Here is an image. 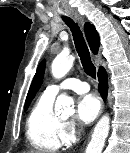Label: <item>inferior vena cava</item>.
<instances>
[{
  "label": "inferior vena cava",
  "mask_w": 130,
  "mask_h": 153,
  "mask_svg": "<svg viewBox=\"0 0 130 153\" xmlns=\"http://www.w3.org/2000/svg\"><path fill=\"white\" fill-rule=\"evenodd\" d=\"M82 132H83V129H82V128L79 129V130H78V135H81Z\"/></svg>",
  "instance_id": "602c4592"
}]
</instances>
